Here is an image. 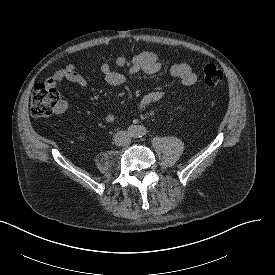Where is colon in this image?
Instances as JSON below:
<instances>
[{"mask_svg": "<svg viewBox=\"0 0 275 275\" xmlns=\"http://www.w3.org/2000/svg\"><path fill=\"white\" fill-rule=\"evenodd\" d=\"M205 85L210 89L219 88L224 82V73L215 65H207L203 69ZM58 91L48 82L34 84L31 95V114L37 118L51 116L60 105Z\"/></svg>", "mask_w": 275, "mask_h": 275, "instance_id": "obj_1", "label": "colon"}]
</instances>
